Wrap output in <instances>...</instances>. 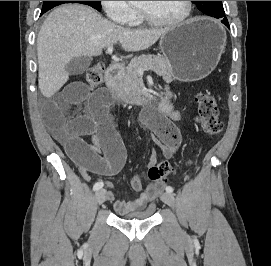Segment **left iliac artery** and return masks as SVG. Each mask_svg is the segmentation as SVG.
<instances>
[{"label":"left iliac artery","mask_w":271,"mask_h":266,"mask_svg":"<svg viewBox=\"0 0 271 266\" xmlns=\"http://www.w3.org/2000/svg\"><path fill=\"white\" fill-rule=\"evenodd\" d=\"M174 189L171 186L166 187V192L167 193H173Z\"/></svg>","instance_id":"44dca946"}]
</instances>
